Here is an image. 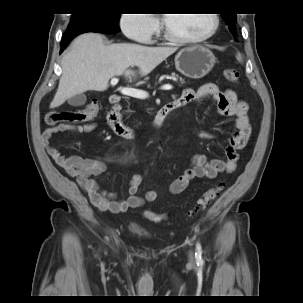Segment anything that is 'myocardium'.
<instances>
[{
	"mask_svg": "<svg viewBox=\"0 0 303 303\" xmlns=\"http://www.w3.org/2000/svg\"><path fill=\"white\" fill-rule=\"evenodd\" d=\"M211 15L213 17V25L210 28V30L207 31L205 34H202V35L196 36V37H185V36H180V35L175 34L168 26L167 20H164L163 21L164 37L170 41L181 43V44L198 43V42L207 40L208 38L212 37L216 33V31L219 27V24H220V19H219L218 14L213 13Z\"/></svg>",
	"mask_w": 303,
	"mask_h": 303,
	"instance_id": "obj_1",
	"label": "myocardium"
}]
</instances>
